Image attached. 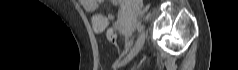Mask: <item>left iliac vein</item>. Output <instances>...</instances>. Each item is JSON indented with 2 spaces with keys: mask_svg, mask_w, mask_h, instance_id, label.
Segmentation results:
<instances>
[{
  "mask_svg": "<svg viewBox=\"0 0 238 70\" xmlns=\"http://www.w3.org/2000/svg\"><path fill=\"white\" fill-rule=\"evenodd\" d=\"M144 42H145V33L142 32L134 46L132 47V49L129 51V53L121 60L118 62L117 64V67H121V66H124L125 64H127L130 60H132L137 54L138 52L141 50V48L143 47L144 45Z\"/></svg>",
  "mask_w": 238,
  "mask_h": 70,
  "instance_id": "obj_1",
  "label": "left iliac vein"
}]
</instances>
